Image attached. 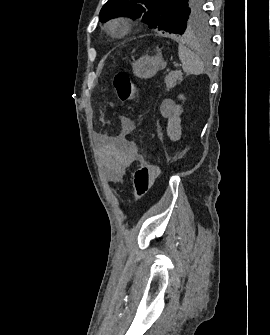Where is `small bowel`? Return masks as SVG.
I'll return each instance as SVG.
<instances>
[{"instance_id":"small-bowel-1","label":"small bowel","mask_w":270,"mask_h":335,"mask_svg":"<svg viewBox=\"0 0 270 335\" xmlns=\"http://www.w3.org/2000/svg\"><path fill=\"white\" fill-rule=\"evenodd\" d=\"M123 131L115 137L99 136V155L105 166L107 177L114 184H122L136 161V146L126 134L135 129L127 118L121 120Z\"/></svg>"}]
</instances>
